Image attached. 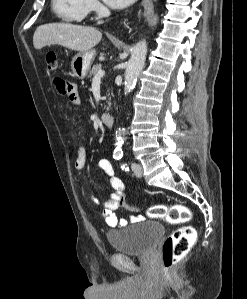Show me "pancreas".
<instances>
[{
  "mask_svg": "<svg viewBox=\"0 0 247 299\" xmlns=\"http://www.w3.org/2000/svg\"><path fill=\"white\" fill-rule=\"evenodd\" d=\"M102 69V65L101 64H96L92 67L91 71L89 72V77L95 76L97 74V72L99 70ZM110 106V103H109ZM107 110L109 109V107L106 108Z\"/></svg>",
  "mask_w": 247,
  "mask_h": 299,
  "instance_id": "pancreas-1",
  "label": "pancreas"
}]
</instances>
